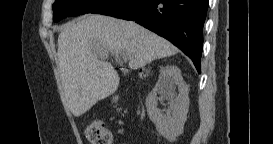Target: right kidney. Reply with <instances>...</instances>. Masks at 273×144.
<instances>
[{"mask_svg": "<svg viewBox=\"0 0 273 144\" xmlns=\"http://www.w3.org/2000/svg\"><path fill=\"white\" fill-rule=\"evenodd\" d=\"M176 87L179 90L177 102L171 103L170 110L163 113L157 107V95L161 98L173 96ZM188 91L180 70L175 66H167L161 71L154 90L146 99L150 120L155 124L158 133L169 141L175 140L183 132L189 107Z\"/></svg>", "mask_w": 273, "mask_h": 144, "instance_id": "ca27d5eb", "label": "right kidney"}]
</instances>
